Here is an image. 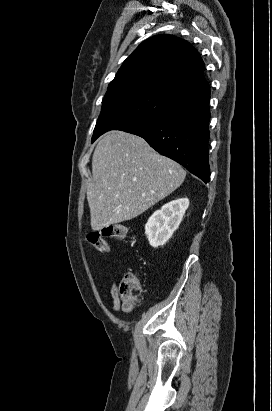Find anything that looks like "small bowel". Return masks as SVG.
<instances>
[{
  "label": "small bowel",
  "instance_id": "c3829d8e",
  "mask_svg": "<svg viewBox=\"0 0 272 411\" xmlns=\"http://www.w3.org/2000/svg\"><path fill=\"white\" fill-rule=\"evenodd\" d=\"M110 294L113 299V306L112 309L115 313L119 312L120 309L123 307L121 300L118 297V287L115 283H112L110 286Z\"/></svg>",
  "mask_w": 272,
  "mask_h": 411
}]
</instances>
